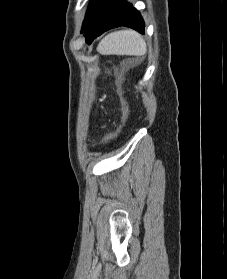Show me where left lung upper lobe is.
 <instances>
[{
	"instance_id": "left-lung-upper-lobe-1",
	"label": "left lung upper lobe",
	"mask_w": 227,
	"mask_h": 279,
	"mask_svg": "<svg viewBox=\"0 0 227 279\" xmlns=\"http://www.w3.org/2000/svg\"><path fill=\"white\" fill-rule=\"evenodd\" d=\"M91 3H92V0H91V2H90V4H89V7H90ZM88 9H89V8H88Z\"/></svg>"
}]
</instances>
